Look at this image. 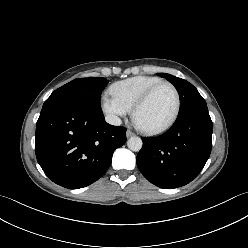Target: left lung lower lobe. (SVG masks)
<instances>
[{"mask_svg":"<svg viewBox=\"0 0 248 248\" xmlns=\"http://www.w3.org/2000/svg\"><path fill=\"white\" fill-rule=\"evenodd\" d=\"M212 121L207 105L177 117L172 127L154 138H142L137 166L154 185L173 189L195 179L212 148Z\"/></svg>","mask_w":248,"mask_h":248,"instance_id":"0a47b994","label":"left lung lower lobe"}]
</instances>
